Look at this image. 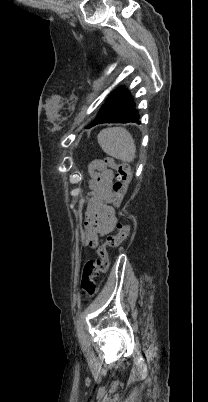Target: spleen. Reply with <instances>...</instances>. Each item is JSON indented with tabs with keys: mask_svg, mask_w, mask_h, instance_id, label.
Wrapping results in <instances>:
<instances>
[{
	"mask_svg": "<svg viewBox=\"0 0 208 402\" xmlns=\"http://www.w3.org/2000/svg\"><path fill=\"white\" fill-rule=\"evenodd\" d=\"M97 140L103 152L108 156H112V158H116V160L133 162L136 158L135 142L125 128H106V130H101Z\"/></svg>",
	"mask_w": 208,
	"mask_h": 402,
	"instance_id": "obj_1",
	"label": "spleen"
}]
</instances>
